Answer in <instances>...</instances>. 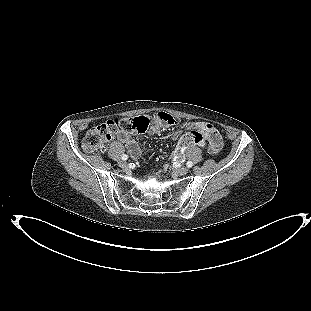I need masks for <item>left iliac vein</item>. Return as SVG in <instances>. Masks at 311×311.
<instances>
[{
    "mask_svg": "<svg viewBox=\"0 0 311 311\" xmlns=\"http://www.w3.org/2000/svg\"><path fill=\"white\" fill-rule=\"evenodd\" d=\"M175 173L178 175H186L188 173V168L186 167L177 168L175 169Z\"/></svg>",
    "mask_w": 311,
    "mask_h": 311,
    "instance_id": "obj_1",
    "label": "left iliac vein"
}]
</instances>
